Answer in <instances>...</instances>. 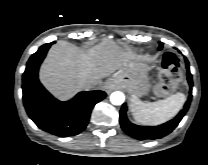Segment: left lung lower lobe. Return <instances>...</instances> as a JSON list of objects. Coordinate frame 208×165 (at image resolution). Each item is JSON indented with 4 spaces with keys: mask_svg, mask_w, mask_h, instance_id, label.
Segmentation results:
<instances>
[{
    "mask_svg": "<svg viewBox=\"0 0 208 165\" xmlns=\"http://www.w3.org/2000/svg\"><path fill=\"white\" fill-rule=\"evenodd\" d=\"M162 46L159 47V50L162 49ZM185 62H186V68H187V79L190 85V95L188 97L187 102L184 105V108L179 112V114L174 119L168 121L167 123H164L159 126L148 127V126H137L131 123L127 119V115H126L127 106H126V103H124L120 110V124H121L122 129L129 136L136 138L138 140L159 139L168 135L177 127L179 122L182 120V118L188 111L191 100H192V85H193L192 75L189 70V62L186 59H185Z\"/></svg>",
    "mask_w": 208,
    "mask_h": 165,
    "instance_id": "left-lung-lower-lobe-1",
    "label": "left lung lower lobe"
}]
</instances>
